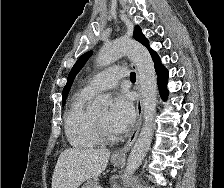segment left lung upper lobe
Wrapping results in <instances>:
<instances>
[{
	"instance_id": "5c2ea615",
	"label": "left lung upper lobe",
	"mask_w": 224,
	"mask_h": 188,
	"mask_svg": "<svg viewBox=\"0 0 224 188\" xmlns=\"http://www.w3.org/2000/svg\"><path fill=\"white\" fill-rule=\"evenodd\" d=\"M134 38L139 41L140 43H142L150 52L153 61H157L160 58L158 57L157 53L155 51H153L150 47H149V42L147 40V38L142 34V31L140 29V27L136 26V30L134 32ZM91 55V52H87L84 53L78 60L77 62L74 64L73 68L71 69L69 76L67 78V83L66 86L63 89V95H62V105L64 106L66 99H67V95L69 93L70 87L72 85V82L76 76V74L81 70V68L84 66L85 62L88 60L89 56Z\"/></svg>"
}]
</instances>
